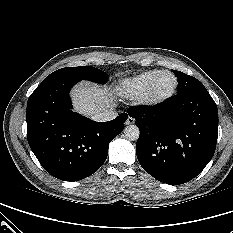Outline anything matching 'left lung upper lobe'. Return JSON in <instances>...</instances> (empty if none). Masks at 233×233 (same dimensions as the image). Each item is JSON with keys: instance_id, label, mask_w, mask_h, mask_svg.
<instances>
[{"instance_id": "1", "label": "left lung upper lobe", "mask_w": 233, "mask_h": 233, "mask_svg": "<svg viewBox=\"0 0 233 233\" xmlns=\"http://www.w3.org/2000/svg\"><path fill=\"white\" fill-rule=\"evenodd\" d=\"M172 71L179 80L178 91H177L178 94L185 93L194 88L204 87L203 84L196 78L189 76L180 71H176V70H172Z\"/></svg>"}]
</instances>
